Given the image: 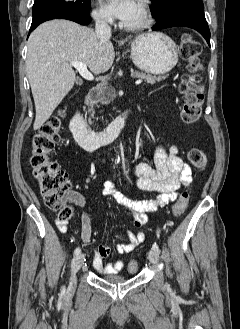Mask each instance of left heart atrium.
Instances as JSON below:
<instances>
[{
    "label": "left heart atrium",
    "mask_w": 240,
    "mask_h": 329,
    "mask_svg": "<svg viewBox=\"0 0 240 329\" xmlns=\"http://www.w3.org/2000/svg\"><path fill=\"white\" fill-rule=\"evenodd\" d=\"M137 7L136 0H108L107 11L108 13L125 22L131 18Z\"/></svg>",
    "instance_id": "left-heart-atrium-1"
}]
</instances>
